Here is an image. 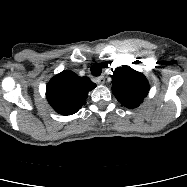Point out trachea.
<instances>
[{"instance_id":"3493384b","label":"trachea","mask_w":187,"mask_h":187,"mask_svg":"<svg viewBox=\"0 0 187 187\" xmlns=\"http://www.w3.org/2000/svg\"><path fill=\"white\" fill-rule=\"evenodd\" d=\"M90 70H91V74L95 77L100 76L102 73V69L98 64L92 65Z\"/></svg>"}]
</instances>
